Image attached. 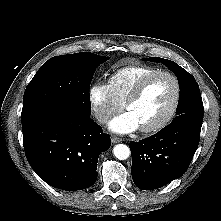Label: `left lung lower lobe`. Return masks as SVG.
<instances>
[{"instance_id": "0a47b994", "label": "left lung lower lobe", "mask_w": 221, "mask_h": 221, "mask_svg": "<svg viewBox=\"0 0 221 221\" xmlns=\"http://www.w3.org/2000/svg\"><path fill=\"white\" fill-rule=\"evenodd\" d=\"M202 122L196 117L174 121L151 137L130 142L135 185L154 190L182 176L198 147Z\"/></svg>"}]
</instances>
